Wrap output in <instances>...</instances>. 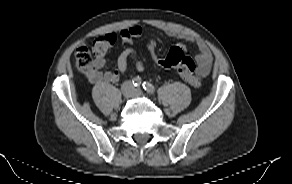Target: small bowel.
Here are the masks:
<instances>
[{"mask_svg": "<svg viewBox=\"0 0 292 184\" xmlns=\"http://www.w3.org/2000/svg\"><path fill=\"white\" fill-rule=\"evenodd\" d=\"M142 32L143 30L141 26L133 25L131 27L122 29L120 31V37L123 43L131 44L135 38H138L142 35ZM170 35H175L179 38L185 39L186 41L195 42L198 49V53L196 55V61L198 65L197 74L201 77L208 75L211 71L212 55L206 44L195 40L189 35L173 33H170ZM178 46L184 48L182 44H179ZM130 58L134 60L135 67L139 72L144 71V64L138 58L136 51L133 48L128 47L124 49L118 56L117 68L115 70L103 72L101 69L105 65V58L104 56H98L94 61L93 69L87 72V77L93 84L118 82L121 76L126 72L128 67V60Z\"/></svg>", "mask_w": 292, "mask_h": 184, "instance_id": "c3829d8e", "label": "small bowel"}]
</instances>
